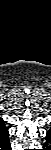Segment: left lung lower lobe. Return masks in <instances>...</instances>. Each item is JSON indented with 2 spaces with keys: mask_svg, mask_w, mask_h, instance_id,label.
I'll use <instances>...</instances> for the list:
<instances>
[{
  "mask_svg": "<svg viewBox=\"0 0 51 150\" xmlns=\"http://www.w3.org/2000/svg\"><path fill=\"white\" fill-rule=\"evenodd\" d=\"M46 139H47V142H46L45 145H47V143H49V141H50V133H49V132H48L47 135H46Z\"/></svg>",
  "mask_w": 51,
  "mask_h": 150,
  "instance_id": "obj_1",
  "label": "left lung lower lobe"
}]
</instances>
